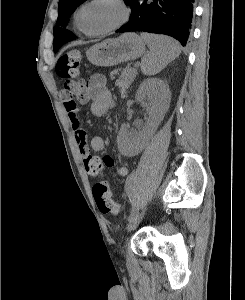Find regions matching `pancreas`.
I'll return each instance as SVG.
<instances>
[{"label":"pancreas","mask_w":245,"mask_h":300,"mask_svg":"<svg viewBox=\"0 0 245 300\" xmlns=\"http://www.w3.org/2000/svg\"><path fill=\"white\" fill-rule=\"evenodd\" d=\"M118 74L117 70L111 72V78L114 75ZM136 69L126 67L122 70V73L119 79L116 81V85L119 87L121 93L125 94L131 83L133 82L134 78L136 77Z\"/></svg>","instance_id":"obj_1"}]
</instances>
